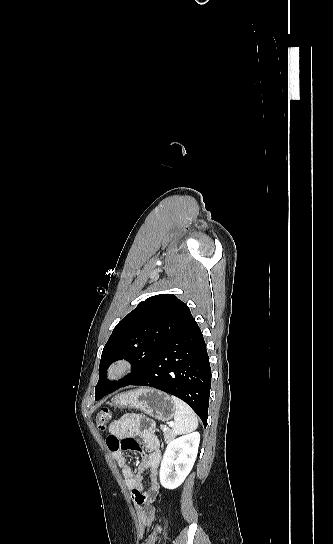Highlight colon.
Instances as JSON below:
<instances>
[{"label": "colon", "mask_w": 333, "mask_h": 544, "mask_svg": "<svg viewBox=\"0 0 333 544\" xmlns=\"http://www.w3.org/2000/svg\"><path fill=\"white\" fill-rule=\"evenodd\" d=\"M111 415H112V411L109 408H102L101 410L97 412L96 423L99 429L105 430L111 418ZM159 531H160L159 525L155 524L152 528V532L147 537L145 544H155L157 541Z\"/></svg>", "instance_id": "5ec220e1"}]
</instances>
